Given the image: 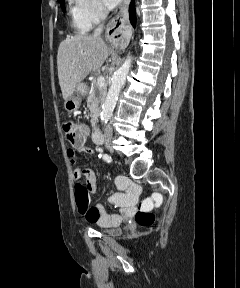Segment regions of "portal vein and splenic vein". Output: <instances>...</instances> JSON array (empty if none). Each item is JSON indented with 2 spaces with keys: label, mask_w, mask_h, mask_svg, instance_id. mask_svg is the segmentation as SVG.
Returning a JSON list of instances; mask_svg holds the SVG:
<instances>
[{
  "label": "portal vein and splenic vein",
  "mask_w": 240,
  "mask_h": 288,
  "mask_svg": "<svg viewBox=\"0 0 240 288\" xmlns=\"http://www.w3.org/2000/svg\"><path fill=\"white\" fill-rule=\"evenodd\" d=\"M97 84H98L100 87H103V86H104V84H105V78H104V76H99V77L97 78Z\"/></svg>",
  "instance_id": "18ae733b"
}]
</instances>
